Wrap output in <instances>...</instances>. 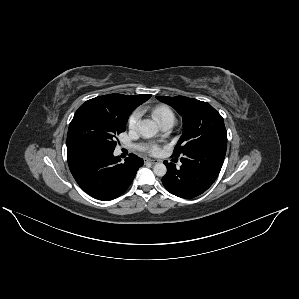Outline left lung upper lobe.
<instances>
[{
	"label": "left lung upper lobe",
	"mask_w": 299,
	"mask_h": 299,
	"mask_svg": "<svg viewBox=\"0 0 299 299\" xmlns=\"http://www.w3.org/2000/svg\"><path fill=\"white\" fill-rule=\"evenodd\" d=\"M183 117V134L173 157L186 156L193 150L227 147V132L222 116L207 102L184 96H157Z\"/></svg>",
	"instance_id": "1"
}]
</instances>
